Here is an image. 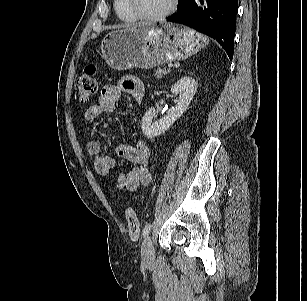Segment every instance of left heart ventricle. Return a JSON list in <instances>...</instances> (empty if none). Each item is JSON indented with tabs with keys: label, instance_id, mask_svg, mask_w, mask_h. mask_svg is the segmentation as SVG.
<instances>
[{
	"label": "left heart ventricle",
	"instance_id": "obj_1",
	"mask_svg": "<svg viewBox=\"0 0 307 301\" xmlns=\"http://www.w3.org/2000/svg\"><path fill=\"white\" fill-rule=\"evenodd\" d=\"M138 8L144 14H157L165 11L171 0H135Z\"/></svg>",
	"mask_w": 307,
	"mask_h": 301
}]
</instances>
